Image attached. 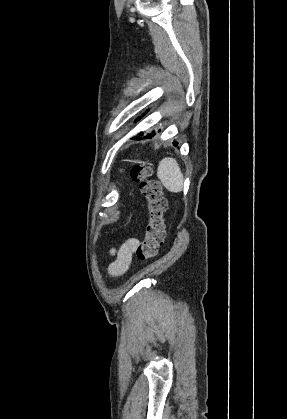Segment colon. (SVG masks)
I'll use <instances>...</instances> for the list:
<instances>
[{
    "label": "colon",
    "mask_w": 287,
    "mask_h": 419,
    "mask_svg": "<svg viewBox=\"0 0 287 419\" xmlns=\"http://www.w3.org/2000/svg\"><path fill=\"white\" fill-rule=\"evenodd\" d=\"M151 175V167L143 161H136L131 169V177L139 184L149 213L144 240L136 248V257L140 262L154 258L165 238L163 216L167 203L161 184L151 179Z\"/></svg>",
    "instance_id": "colon-1"
}]
</instances>
